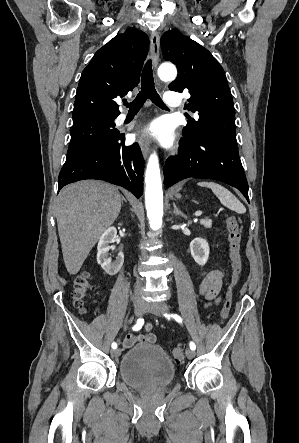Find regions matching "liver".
<instances>
[{
    "instance_id": "6515ba94",
    "label": "liver",
    "mask_w": 299,
    "mask_h": 443,
    "mask_svg": "<svg viewBox=\"0 0 299 443\" xmlns=\"http://www.w3.org/2000/svg\"><path fill=\"white\" fill-rule=\"evenodd\" d=\"M122 196L105 182L83 180L64 187L56 201V219L67 271L79 272L103 232L119 215Z\"/></svg>"
}]
</instances>
